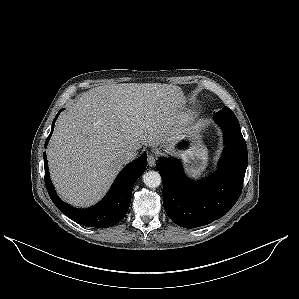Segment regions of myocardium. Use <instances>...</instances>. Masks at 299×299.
Returning a JSON list of instances; mask_svg holds the SVG:
<instances>
[{
    "instance_id": "f54148a6",
    "label": "myocardium",
    "mask_w": 299,
    "mask_h": 299,
    "mask_svg": "<svg viewBox=\"0 0 299 299\" xmlns=\"http://www.w3.org/2000/svg\"><path fill=\"white\" fill-rule=\"evenodd\" d=\"M192 120H193V114L192 113H188L184 117L183 122H184V124H189V123H191Z\"/></svg>"
}]
</instances>
